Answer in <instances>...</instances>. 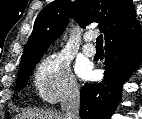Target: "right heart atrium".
<instances>
[{
  "label": "right heart atrium",
  "instance_id": "d8ad5b80",
  "mask_svg": "<svg viewBox=\"0 0 142 119\" xmlns=\"http://www.w3.org/2000/svg\"><path fill=\"white\" fill-rule=\"evenodd\" d=\"M34 86L41 99L57 103L77 98L79 86L65 56L52 53L44 57L34 72Z\"/></svg>",
  "mask_w": 142,
  "mask_h": 119
}]
</instances>
